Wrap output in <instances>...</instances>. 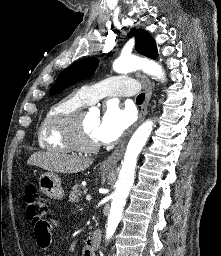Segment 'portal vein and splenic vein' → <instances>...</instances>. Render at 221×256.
<instances>
[{"label": "portal vein and splenic vein", "instance_id": "1", "mask_svg": "<svg viewBox=\"0 0 221 256\" xmlns=\"http://www.w3.org/2000/svg\"><path fill=\"white\" fill-rule=\"evenodd\" d=\"M86 200H87V201H90V200H91V195H89V194L86 195Z\"/></svg>", "mask_w": 221, "mask_h": 256}]
</instances>
